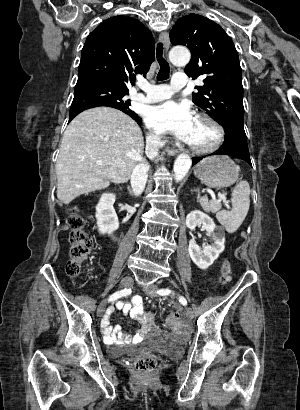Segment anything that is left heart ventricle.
I'll return each mask as SVG.
<instances>
[{"instance_id": "obj_1", "label": "left heart ventricle", "mask_w": 300, "mask_h": 410, "mask_svg": "<svg viewBox=\"0 0 300 410\" xmlns=\"http://www.w3.org/2000/svg\"><path fill=\"white\" fill-rule=\"evenodd\" d=\"M217 139V132L209 123L196 120V125L190 140V144L197 147H207L213 144Z\"/></svg>"}]
</instances>
